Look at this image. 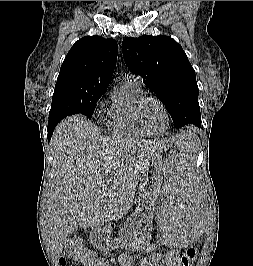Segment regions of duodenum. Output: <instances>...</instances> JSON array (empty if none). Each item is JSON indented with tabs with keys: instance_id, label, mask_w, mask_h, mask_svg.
Masks as SVG:
<instances>
[{
	"instance_id": "410a0bca",
	"label": "duodenum",
	"mask_w": 253,
	"mask_h": 266,
	"mask_svg": "<svg viewBox=\"0 0 253 266\" xmlns=\"http://www.w3.org/2000/svg\"><path fill=\"white\" fill-rule=\"evenodd\" d=\"M93 238H95V239H99V240H102L103 239V234L102 233H98V235L97 236H93Z\"/></svg>"
}]
</instances>
